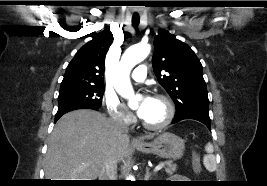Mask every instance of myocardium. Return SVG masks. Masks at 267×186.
Instances as JSON below:
<instances>
[{
	"mask_svg": "<svg viewBox=\"0 0 267 186\" xmlns=\"http://www.w3.org/2000/svg\"><path fill=\"white\" fill-rule=\"evenodd\" d=\"M154 99L161 101L165 107H166V116L165 118L158 124H149L146 123L145 121H141L142 126L151 131H158L166 128L174 119L175 116V107L173 102L168 98L167 96L163 94H157Z\"/></svg>",
	"mask_w": 267,
	"mask_h": 186,
	"instance_id": "myocardium-1",
	"label": "myocardium"
}]
</instances>
